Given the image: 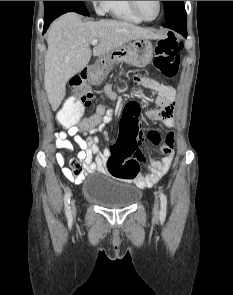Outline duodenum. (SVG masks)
I'll use <instances>...</instances> for the list:
<instances>
[{
  "label": "duodenum",
  "instance_id": "obj_1",
  "mask_svg": "<svg viewBox=\"0 0 233 295\" xmlns=\"http://www.w3.org/2000/svg\"><path fill=\"white\" fill-rule=\"evenodd\" d=\"M83 79H88L90 77V71L88 69H85L82 73Z\"/></svg>",
  "mask_w": 233,
  "mask_h": 295
}]
</instances>
